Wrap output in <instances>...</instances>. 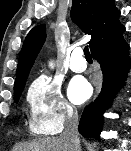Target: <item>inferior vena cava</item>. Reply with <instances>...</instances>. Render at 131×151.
Wrapping results in <instances>:
<instances>
[{"label":"inferior vena cava","mask_w":131,"mask_h":151,"mask_svg":"<svg viewBox=\"0 0 131 151\" xmlns=\"http://www.w3.org/2000/svg\"><path fill=\"white\" fill-rule=\"evenodd\" d=\"M64 126V131L60 137L71 143L74 148L73 151H80V140L78 137V115L72 108L67 110Z\"/></svg>","instance_id":"602c4592"}]
</instances>
